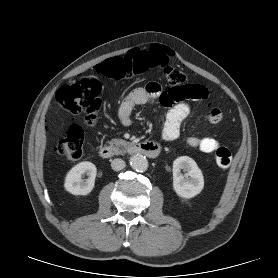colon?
Wrapping results in <instances>:
<instances>
[{"label":"colon","mask_w":278,"mask_h":278,"mask_svg":"<svg viewBox=\"0 0 278 278\" xmlns=\"http://www.w3.org/2000/svg\"><path fill=\"white\" fill-rule=\"evenodd\" d=\"M154 68L163 70L166 84L171 87L174 99L206 98L205 88L199 84H186L185 74L180 69L169 66L164 51L159 48L111 58L98 64L95 69L99 75L119 81L132 79ZM100 94V81L96 78H85L62 86L57 93V102L72 116L84 113L86 123L94 126L102 107ZM83 137V130L79 126L71 127L67 137L59 142L57 153L70 161L80 159ZM214 157L216 164L221 168H228L232 161L231 152L224 146L216 147Z\"/></svg>","instance_id":"1"}]
</instances>
